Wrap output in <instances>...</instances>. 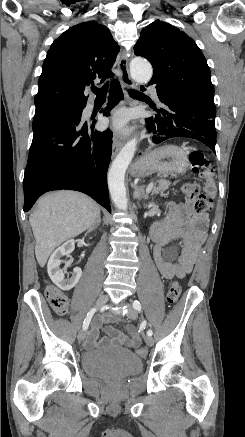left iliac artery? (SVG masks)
I'll return each mask as SVG.
<instances>
[{
	"label": "left iliac artery",
	"mask_w": 245,
	"mask_h": 437,
	"mask_svg": "<svg viewBox=\"0 0 245 437\" xmlns=\"http://www.w3.org/2000/svg\"><path fill=\"white\" fill-rule=\"evenodd\" d=\"M133 308L136 310V311H138V312H140L141 311V304H140V302L138 301V300H135L134 302H133ZM145 323V322H144ZM152 334H153V331L151 330V329H149L148 331H147V335L148 336H152Z\"/></svg>",
	"instance_id": "1"
}]
</instances>
